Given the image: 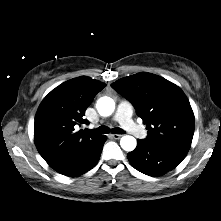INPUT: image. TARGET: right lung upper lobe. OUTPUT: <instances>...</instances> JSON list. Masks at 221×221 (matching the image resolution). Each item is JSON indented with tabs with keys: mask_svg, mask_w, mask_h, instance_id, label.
Masks as SVG:
<instances>
[{
	"mask_svg": "<svg viewBox=\"0 0 221 221\" xmlns=\"http://www.w3.org/2000/svg\"><path fill=\"white\" fill-rule=\"evenodd\" d=\"M106 85L87 76L66 81L41 102L34 123L35 145L44 160L61 174L92 155L103 136L78 129L88 123L85 110Z\"/></svg>",
	"mask_w": 221,
	"mask_h": 221,
	"instance_id": "right-lung-upper-lobe-1",
	"label": "right lung upper lobe"
}]
</instances>
